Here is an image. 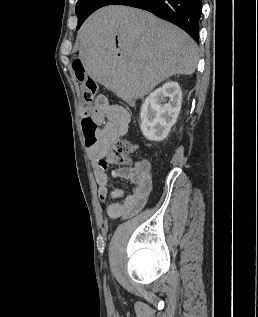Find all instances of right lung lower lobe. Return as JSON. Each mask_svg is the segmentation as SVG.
I'll return each mask as SVG.
<instances>
[{
  "label": "right lung lower lobe",
  "mask_w": 258,
  "mask_h": 317,
  "mask_svg": "<svg viewBox=\"0 0 258 317\" xmlns=\"http://www.w3.org/2000/svg\"><path fill=\"white\" fill-rule=\"evenodd\" d=\"M202 0H86L77 13L78 26L95 10L107 5H127L147 10L184 31L199 43Z\"/></svg>",
  "instance_id": "obj_1"
}]
</instances>
